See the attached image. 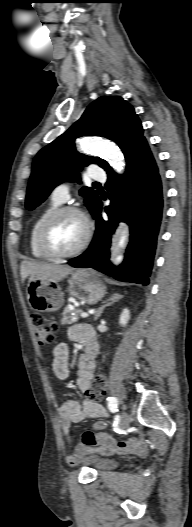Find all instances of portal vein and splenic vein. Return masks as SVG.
I'll return each mask as SVG.
<instances>
[{"label":"portal vein and splenic vein","instance_id":"18ae733b","mask_svg":"<svg viewBox=\"0 0 192 527\" xmlns=\"http://www.w3.org/2000/svg\"><path fill=\"white\" fill-rule=\"evenodd\" d=\"M80 316H81L82 318H86V317L89 316V314H88L87 312H81V313H80Z\"/></svg>","mask_w":192,"mask_h":527}]
</instances>
